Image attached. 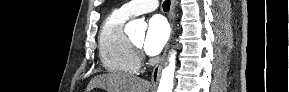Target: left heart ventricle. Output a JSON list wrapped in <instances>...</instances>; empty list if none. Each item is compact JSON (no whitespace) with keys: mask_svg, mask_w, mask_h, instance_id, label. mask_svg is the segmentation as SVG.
I'll return each instance as SVG.
<instances>
[{"mask_svg":"<svg viewBox=\"0 0 289 92\" xmlns=\"http://www.w3.org/2000/svg\"><path fill=\"white\" fill-rule=\"evenodd\" d=\"M143 39H144V36H143V35H138V36L134 37V38L132 39V41H133L136 45H138V46L141 47V45H142V43H143Z\"/></svg>","mask_w":289,"mask_h":92,"instance_id":"1","label":"left heart ventricle"}]
</instances>
